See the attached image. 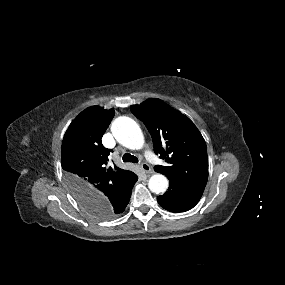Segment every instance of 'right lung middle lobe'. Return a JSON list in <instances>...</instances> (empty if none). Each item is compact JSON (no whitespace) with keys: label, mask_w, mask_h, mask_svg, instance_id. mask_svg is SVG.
Here are the masks:
<instances>
[{"label":"right lung middle lobe","mask_w":285,"mask_h":285,"mask_svg":"<svg viewBox=\"0 0 285 285\" xmlns=\"http://www.w3.org/2000/svg\"><path fill=\"white\" fill-rule=\"evenodd\" d=\"M69 184V183H68ZM70 186V185H69ZM71 189V187H70ZM86 211L88 213H90L91 215L100 218V219H111L113 218L115 215L112 214L111 211H109L106 208H97V207H93V206H83Z\"/></svg>","instance_id":"1"}]
</instances>
